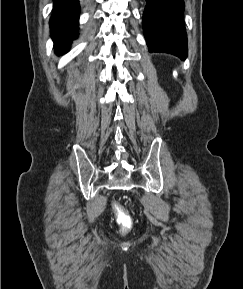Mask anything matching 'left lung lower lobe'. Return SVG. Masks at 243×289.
<instances>
[{"label":"left lung lower lobe","mask_w":243,"mask_h":289,"mask_svg":"<svg viewBox=\"0 0 243 289\" xmlns=\"http://www.w3.org/2000/svg\"><path fill=\"white\" fill-rule=\"evenodd\" d=\"M143 29L150 52H168L187 57L183 22L184 0H146Z\"/></svg>","instance_id":"0a47b994"}]
</instances>
